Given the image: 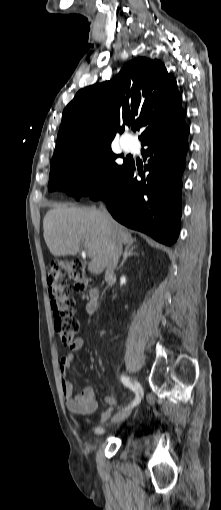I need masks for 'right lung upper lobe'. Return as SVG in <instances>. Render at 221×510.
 <instances>
[{"instance_id": "cb5924a9", "label": "right lung upper lobe", "mask_w": 221, "mask_h": 510, "mask_svg": "<svg viewBox=\"0 0 221 510\" xmlns=\"http://www.w3.org/2000/svg\"><path fill=\"white\" fill-rule=\"evenodd\" d=\"M176 80L159 60L138 57L107 82L85 87L63 111L51 163L72 150L111 145L124 126L144 127L139 139L185 119Z\"/></svg>"}]
</instances>
